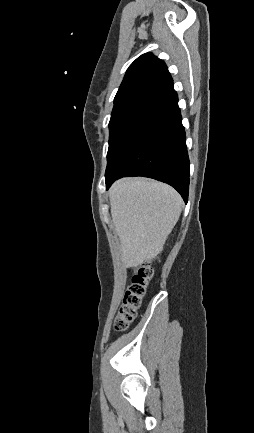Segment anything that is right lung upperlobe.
<instances>
[{
	"label": "right lung upper lobe",
	"mask_w": 254,
	"mask_h": 433,
	"mask_svg": "<svg viewBox=\"0 0 254 433\" xmlns=\"http://www.w3.org/2000/svg\"><path fill=\"white\" fill-rule=\"evenodd\" d=\"M173 82L165 63L151 53L138 57L128 68L114 98V106L145 103Z\"/></svg>",
	"instance_id": "cb5924a9"
}]
</instances>
